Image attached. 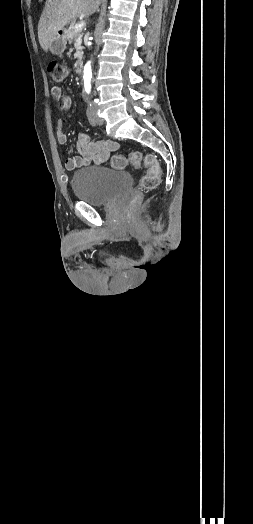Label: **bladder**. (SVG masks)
Wrapping results in <instances>:
<instances>
[{
	"label": "bladder",
	"mask_w": 253,
	"mask_h": 524,
	"mask_svg": "<svg viewBox=\"0 0 253 524\" xmlns=\"http://www.w3.org/2000/svg\"><path fill=\"white\" fill-rule=\"evenodd\" d=\"M126 171H112L103 166H90L74 172L72 190L76 199L91 206L107 205L131 186Z\"/></svg>",
	"instance_id": "bladder-1"
}]
</instances>
